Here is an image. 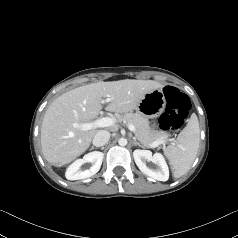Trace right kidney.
Returning <instances> with one entry per match:
<instances>
[{
  "label": "right kidney",
  "instance_id": "right-kidney-1",
  "mask_svg": "<svg viewBox=\"0 0 238 238\" xmlns=\"http://www.w3.org/2000/svg\"><path fill=\"white\" fill-rule=\"evenodd\" d=\"M104 154L99 151H94L86 154L83 159H77L66 170L65 176L68 180L86 179L96 174L101 167ZM90 162L92 167L88 170H80V167Z\"/></svg>",
  "mask_w": 238,
  "mask_h": 238
}]
</instances>
